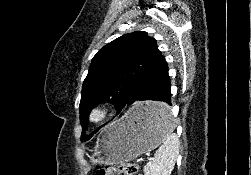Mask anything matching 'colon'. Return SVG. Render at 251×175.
Here are the masks:
<instances>
[{"label":"colon","instance_id":"5ec220e1","mask_svg":"<svg viewBox=\"0 0 251 175\" xmlns=\"http://www.w3.org/2000/svg\"><path fill=\"white\" fill-rule=\"evenodd\" d=\"M96 175H141L137 162H124L100 168Z\"/></svg>","mask_w":251,"mask_h":175}]
</instances>
